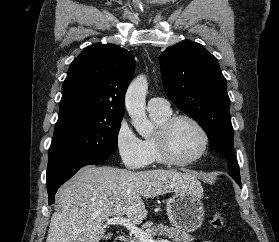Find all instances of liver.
I'll use <instances>...</instances> for the list:
<instances>
[{
	"mask_svg": "<svg viewBox=\"0 0 279 242\" xmlns=\"http://www.w3.org/2000/svg\"><path fill=\"white\" fill-rule=\"evenodd\" d=\"M180 191L200 193L202 187L193 175L173 170L83 167L56 194L46 242H99L111 217L126 215L134 224L145 219L142 197Z\"/></svg>",
	"mask_w": 279,
	"mask_h": 242,
	"instance_id": "6515ba94",
	"label": "liver"
}]
</instances>
